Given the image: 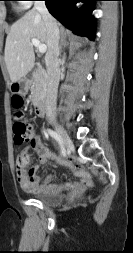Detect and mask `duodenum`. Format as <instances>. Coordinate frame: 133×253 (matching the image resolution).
Returning a JSON list of instances; mask_svg holds the SVG:
<instances>
[{
    "mask_svg": "<svg viewBox=\"0 0 133 253\" xmlns=\"http://www.w3.org/2000/svg\"><path fill=\"white\" fill-rule=\"evenodd\" d=\"M29 80H30V75L26 73L23 76V83L27 84ZM46 108H47V104L44 98H40L35 102V113L37 116L43 117L46 113Z\"/></svg>",
    "mask_w": 133,
    "mask_h": 253,
    "instance_id": "410a0bca",
    "label": "duodenum"
}]
</instances>
